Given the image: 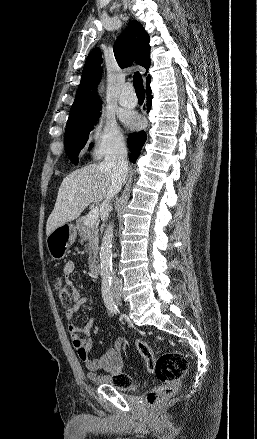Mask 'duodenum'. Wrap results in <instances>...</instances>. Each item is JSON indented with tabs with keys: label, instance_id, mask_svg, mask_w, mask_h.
Segmentation results:
<instances>
[{
	"label": "duodenum",
	"instance_id": "duodenum-1",
	"mask_svg": "<svg viewBox=\"0 0 257 439\" xmlns=\"http://www.w3.org/2000/svg\"><path fill=\"white\" fill-rule=\"evenodd\" d=\"M90 272L93 276L97 277L100 275V266L97 262L93 261L90 264Z\"/></svg>",
	"mask_w": 257,
	"mask_h": 439
}]
</instances>
